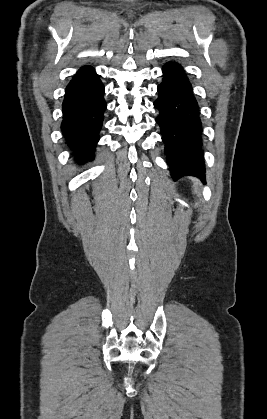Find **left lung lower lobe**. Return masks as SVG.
<instances>
[{
  "mask_svg": "<svg viewBox=\"0 0 267 419\" xmlns=\"http://www.w3.org/2000/svg\"><path fill=\"white\" fill-rule=\"evenodd\" d=\"M159 96L154 107L159 111L165 154L174 179L184 175L205 179L202 150V124L192 85L177 63L163 66V81L157 87Z\"/></svg>",
  "mask_w": 267,
  "mask_h": 419,
  "instance_id": "left-lung-lower-lobe-1",
  "label": "left lung lower lobe"
}]
</instances>
